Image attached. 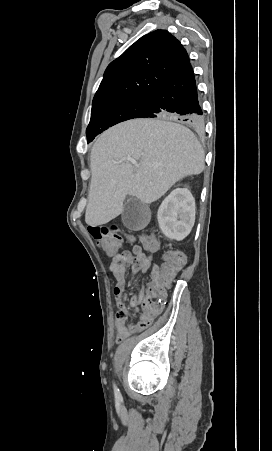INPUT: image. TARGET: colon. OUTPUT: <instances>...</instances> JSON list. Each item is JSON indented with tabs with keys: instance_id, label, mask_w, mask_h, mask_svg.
Returning <instances> with one entry per match:
<instances>
[{
	"instance_id": "obj_1",
	"label": "colon",
	"mask_w": 272,
	"mask_h": 451,
	"mask_svg": "<svg viewBox=\"0 0 272 451\" xmlns=\"http://www.w3.org/2000/svg\"><path fill=\"white\" fill-rule=\"evenodd\" d=\"M89 232L93 239L104 249L106 256H113L115 250L119 248L121 242V232L116 226H90ZM137 242H141L142 238L137 237ZM147 247L154 249L156 242L151 237L147 238ZM119 258V259H118ZM118 258L111 260L110 269L118 271L121 268L120 263L125 268L139 269L145 271L149 265L148 258H137L135 254L129 251H121ZM166 262H162L161 268H157L154 272V280L149 281V288H141V294L138 296L140 310H157L163 303L170 302V295L167 294V288L171 286L174 277V271H184L185 264L182 261L185 258L183 251H178L174 247H169L164 253ZM136 311V309L134 310ZM125 314H122L124 319ZM149 324V321H140L134 329L125 324L120 328L119 339L126 337L128 332L134 330H143Z\"/></svg>"
}]
</instances>
